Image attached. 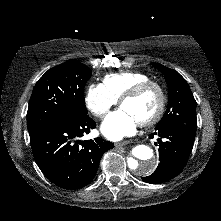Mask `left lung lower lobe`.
Segmentation results:
<instances>
[{
	"instance_id": "1",
	"label": "left lung lower lobe",
	"mask_w": 221,
	"mask_h": 221,
	"mask_svg": "<svg viewBox=\"0 0 221 221\" xmlns=\"http://www.w3.org/2000/svg\"><path fill=\"white\" fill-rule=\"evenodd\" d=\"M155 130L150 137L154 135L159 137L160 164L153 174L142 178L144 182L150 184H159L177 176L184 168L194 142V139L175 128L155 127Z\"/></svg>"
}]
</instances>
